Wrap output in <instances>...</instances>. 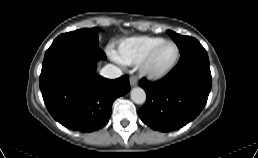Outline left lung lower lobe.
Returning <instances> with one entry per match:
<instances>
[{
    "label": "left lung lower lobe",
    "instance_id": "left-lung-lower-lobe-1",
    "mask_svg": "<svg viewBox=\"0 0 258 158\" xmlns=\"http://www.w3.org/2000/svg\"><path fill=\"white\" fill-rule=\"evenodd\" d=\"M147 93L146 103L138 110L141 120L162 132L183 127L201 112L211 90L208 55L196 42L181 53L177 66L157 83L141 79Z\"/></svg>",
    "mask_w": 258,
    "mask_h": 158
}]
</instances>
